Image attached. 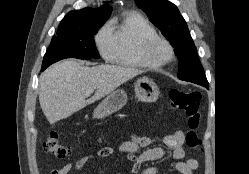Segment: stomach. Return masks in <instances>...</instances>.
I'll return each instance as SVG.
<instances>
[{"label": "stomach", "instance_id": "1", "mask_svg": "<svg viewBox=\"0 0 249 174\" xmlns=\"http://www.w3.org/2000/svg\"><path fill=\"white\" fill-rule=\"evenodd\" d=\"M136 97L147 103L155 102L160 91L158 86L148 78H140L135 83ZM127 102V94L118 89L111 92L94 110L93 117L102 119L121 109Z\"/></svg>", "mask_w": 249, "mask_h": 174}]
</instances>
